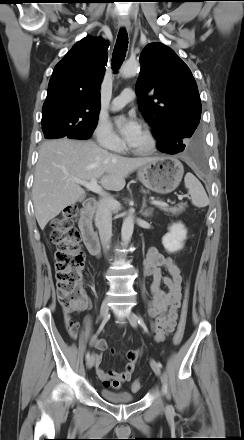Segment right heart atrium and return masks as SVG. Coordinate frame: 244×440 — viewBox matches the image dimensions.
<instances>
[{"label":"right heart atrium","instance_id":"obj_1","mask_svg":"<svg viewBox=\"0 0 244 440\" xmlns=\"http://www.w3.org/2000/svg\"><path fill=\"white\" fill-rule=\"evenodd\" d=\"M94 136L103 148L119 151L122 147L120 137L113 131L111 125L106 120L98 121L94 130Z\"/></svg>","mask_w":244,"mask_h":440}]
</instances>
